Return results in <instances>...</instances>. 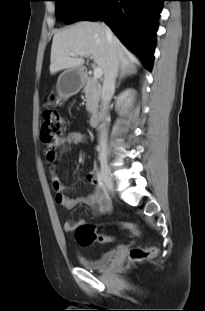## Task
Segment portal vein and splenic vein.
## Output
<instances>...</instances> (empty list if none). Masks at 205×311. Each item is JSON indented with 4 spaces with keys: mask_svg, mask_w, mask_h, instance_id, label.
<instances>
[{
    "mask_svg": "<svg viewBox=\"0 0 205 311\" xmlns=\"http://www.w3.org/2000/svg\"><path fill=\"white\" fill-rule=\"evenodd\" d=\"M71 56H81V57H89L88 54L79 52V53H70ZM103 72L102 69L100 67H94L93 70V77L94 79H99L102 76Z\"/></svg>",
    "mask_w": 205,
    "mask_h": 311,
    "instance_id": "18ae733b",
    "label": "portal vein and splenic vein"
}]
</instances>
